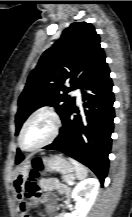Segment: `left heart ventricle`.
<instances>
[{
  "instance_id": "obj_1",
  "label": "left heart ventricle",
  "mask_w": 132,
  "mask_h": 217,
  "mask_svg": "<svg viewBox=\"0 0 132 217\" xmlns=\"http://www.w3.org/2000/svg\"><path fill=\"white\" fill-rule=\"evenodd\" d=\"M53 130V120L46 114L33 119L24 131L22 142L26 148H33L49 138Z\"/></svg>"
}]
</instances>
